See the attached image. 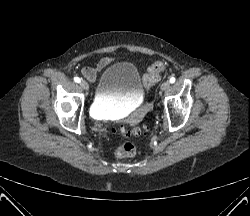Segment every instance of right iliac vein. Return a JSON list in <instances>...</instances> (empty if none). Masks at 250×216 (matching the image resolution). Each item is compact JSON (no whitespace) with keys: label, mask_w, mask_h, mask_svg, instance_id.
<instances>
[{"label":"right iliac vein","mask_w":250,"mask_h":216,"mask_svg":"<svg viewBox=\"0 0 250 216\" xmlns=\"http://www.w3.org/2000/svg\"><path fill=\"white\" fill-rule=\"evenodd\" d=\"M80 86L84 90H88L89 89L88 83L86 81H84V80L80 81Z\"/></svg>","instance_id":"63e3f726"}]
</instances>
